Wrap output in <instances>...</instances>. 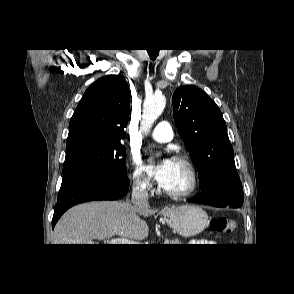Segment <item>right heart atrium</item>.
Returning a JSON list of instances; mask_svg holds the SVG:
<instances>
[{
    "label": "right heart atrium",
    "mask_w": 294,
    "mask_h": 294,
    "mask_svg": "<svg viewBox=\"0 0 294 294\" xmlns=\"http://www.w3.org/2000/svg\"><path fill=\"white\" fill-rule=\"evenodd\" d=\"M131 180L133 187L141 192H148L151 189V178L145 172L142 164L137 158L132 159Z\"/></svg>",
    "instance_id": "1"
}]
</instances>
